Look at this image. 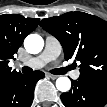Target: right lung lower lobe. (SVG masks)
Segmentation results:
<instances>
[{
	"mask_svg": "<svg viewBox=\"0 0 107 107\" xmlns=\"http://www.w3.org/2000/svg\"><path fill=\"white\" fill-rule=\"evenodd\" d=\"M44 77L41 71L20 72L0 78V107H30L36 82Z\"/></svg>",
	"mask_w": 107,
	"mask_h": 107,
	"instance_id": "1",
	"label": "right lung lower lobe"
}]
</instances>
